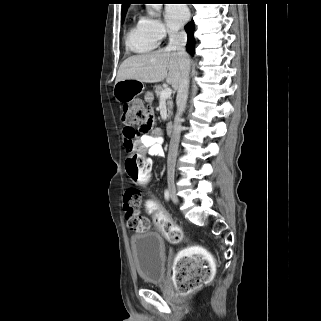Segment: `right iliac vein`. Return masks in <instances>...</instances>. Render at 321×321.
I'll return each instance as SVG.
<instances>
[{
	"mask_svg": "<svg viewBox=\"0 0 321 321\" xmlns=\"http://www.w3.org/2000/svg\"><path fill=\"white\" fill-rule=\"evenodd\" d=\"M168 191H169V195L171 197V199L173 200V202L177 203L178 202V197L176 194V187H175V183H174V177L172 175L168 176Z\"/></svg>",
	"mask_w": 321,
	"mask_h": 321,
	"instance_id": "63e3f726",
	"label": "right iliac vein"
}]
</instances>
